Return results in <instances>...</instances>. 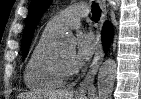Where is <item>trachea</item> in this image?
Returning a JSON list of instances; mask_svg holds the SVG:
<instances>
[{"label": "trachea", "instance_id": "1", "mask_svg": "<svg viewBox=\"0 0 141 99\" xmlns=\"http://www.w3.org/2000/svg\"><path fill=\"white\" fill-rule=\"evenodd\" d=\"M101 16V9L97 3L93 2L92 4V19L97 22Z\"/></svg>", "mask_w": 141, "mask_h": 99}]
</instances>
